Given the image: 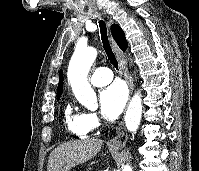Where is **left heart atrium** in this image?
Instances as JSON below:
<instances>
[{
	"label": "left heart atrium",
	"mask_w": 199,
	"mask_h": 171,
	"mask_svg": "<svg viewBox=\"0 0 199 171\" xmlns=\"http://www.w3.org/2000/svg\"><path fill=\"white\" fill-rule=\"evenodd\" d=\"M127 100L124 85L114 82L100 93L101 113L107 120L116 119L122 112Z\"/></svg>",
	"instance_id": "obj_1"
}]
</instances>
